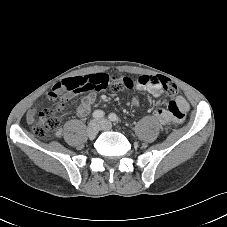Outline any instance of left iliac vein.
<instances>
[{
    "instance_id": "left-iliac-vein-1",
    "label": "left iliac vein",
    "mask_w": 227,
    "mask_h": 227,
    "mask_svg": "<svg viewBox=\"0 0 227 227\" xmlns=\"http://www.w3.org/2000/svg\"><path fill=\"white\" fill-rule=\"evenodd\" d=\"M98 123L102 130H111L112 129V124L106 119H101L98 121Z\"/></svg>"
}]
</instances>
